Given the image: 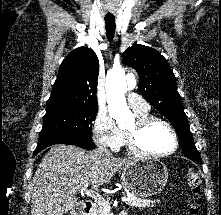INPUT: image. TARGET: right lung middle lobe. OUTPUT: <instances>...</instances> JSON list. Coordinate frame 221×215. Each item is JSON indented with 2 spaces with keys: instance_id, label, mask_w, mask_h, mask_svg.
<instances>
[{
  "instance_id": "obj_1",
  "label": "right lung middle lobe",
  "mask_w": 221,
  "mask_h": 215,
  "mask_svg": "<svg viewBox=\"0 0 221 215\" xmlns=\"http://www.w3.org/2000/svg\"><path fill=\"white\" fill-rule=\"evenodd\" d=\"M96 115L97 109H66L47 113L43 117L39 142L90 135Z\"/></svg>"
}]
</instances>
